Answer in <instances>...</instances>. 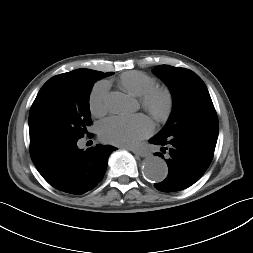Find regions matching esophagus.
Listing matches in <instances>:
<instances>
[{"label": "esophagus", "instance_id": "34e87169", "mask_svg": "<svg viewBox=\"0 0 253 253\" xmlns=\"http://www.w3.org/2000/svg\"><path fill=\"white\" fill-rule=\"evenodd\" d=\"M135 155H138L140 157H146L149 155V153L145 150H141V149H132L131 150Z\"/></svg>", "mask_w": 253, "mask_h": 253}]
</instances>
